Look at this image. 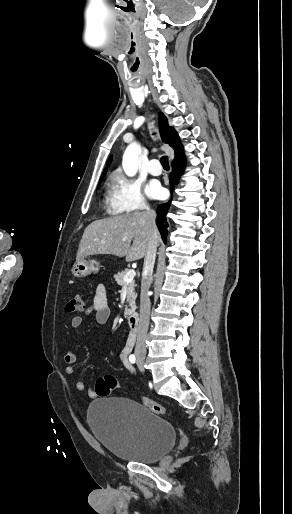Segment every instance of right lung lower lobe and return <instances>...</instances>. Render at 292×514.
I'll return each instance as SVG.
<instances>
[{
	"mask_svg": "<svg viewBox=\"0 0 292 514\" xmlns=\"http://www.w3.org/2000/svg\"><path fill=\"white\" fill-rule=\"evenodd\" d=\"M185 164H186V158L184 155L172 162V172L169 176L171 192L174 190L175 185L179 183L180 177L184 172ZM170 204H171V201H169L165 204H160L157 208L156 223H157V226L159 228V231L161 233L164 243H166V235H167V227H168L166 215L170 209Z\"/></svg>",
	"mask_w": 292,
	"mask_h": 514,
	"instance_id": "1",
	"label": "right lung lower lobe"
}]
</instances>
